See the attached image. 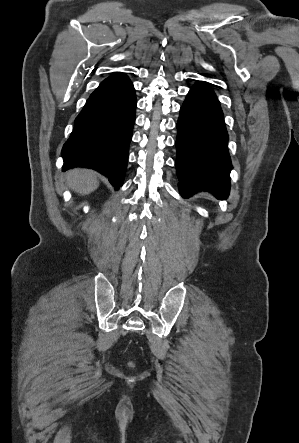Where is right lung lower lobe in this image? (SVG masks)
<instances>
[{
	"instance_id": "1",
	"label": "right lung lower lobe",
	"mask_w": 299,
	"mask_h": 443,
	"mask_svg": "<svg viewBox=\"0 0 299 443\" xmlns=\"http://www.w3.org/2000/svg\"><path fill=\"white\" fill-rule=\"evenodd\" d=\"M136 96L122 73L105 79L90 95L62 149L63 171L85 166L99 171L119 189L135 121Z\"/></svg>"
}]
</instances>
